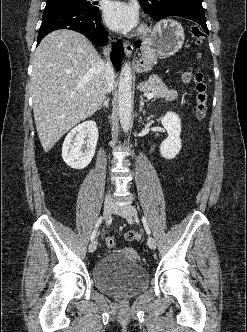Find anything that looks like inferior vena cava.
I'll list each match as a JSON object with an SVG mask.
<instances>
[{"instance_id":"602c4592","label":"inferior vena cava","mask_w":247,"mask_h":332,"mask_svg":"<svg viewBox=\"0 0 247 332\" xmlns=\"http://www.w3.org/2000/svg\"><path fill=\"white\" fill-rule=\"evenodd\" d=\"M110 48L107 47L104 49V54L107 57V61L103 62L104 76L107 81V92H111L114 84V69L111 61L108 59V52Z\"/></svg>"}]
</instances>
